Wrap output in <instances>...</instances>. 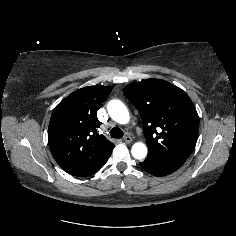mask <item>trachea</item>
Masks as SVG:
<instances>
[{
  "instance_id": "3493384b",
  "label": "trachea",
  "mask_w": 236,
  "mask_h": 236,
  "mask_svg": "<svg viewBox=\"0 0 236 236\" xmlns=\"http://www.w3.org/2000/svg\"><path fill=\"white\" fill-rule=\"evenodd\" d=\"M110 135L112 138H122L124 133L120 128L114 127L111 129Z\"/></svg>"
}]
</instances>
